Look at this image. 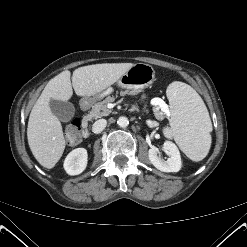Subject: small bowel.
Returning <instances> with one entry per match:
<instances>
[{
    "label": "small bowel",
    "instance_id": "1",
    "mask_svg": "<svg viewBox=\"0 0 247 247\" xmlns=\"http://www.w3.org/2000/svg\"><path fill=\"white\" fill-rule=\"evenodd\" d=\"M149 124H150L151 126H154V125H155V122L149 121Z\"/></svg>",
    "mask_w": 247,
    "mask_h": 247
}]
</instances>
